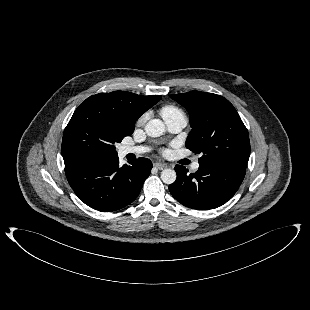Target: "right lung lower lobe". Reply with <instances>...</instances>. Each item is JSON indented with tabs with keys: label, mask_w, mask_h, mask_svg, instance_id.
<instances>
[{
	"label": "right lung lower lobe",
	"mask_w": 310,
	"mask_h": 310,
	"mask_svg": "<svg viewBox=\"0 0 310 310\" xmlns=\"http://www.w3.org/2000/svg\"><path fill=\"white\" fill-rule=\"evenodd\" d=\"M151 169L152 162L146 158L119 167L118 156H107L65 165V174L81 201L96 210L109 212L137 198Z\"/></svg>",
	"instance_id": "1"
}]
</instances>
